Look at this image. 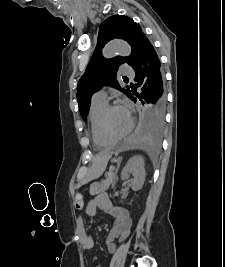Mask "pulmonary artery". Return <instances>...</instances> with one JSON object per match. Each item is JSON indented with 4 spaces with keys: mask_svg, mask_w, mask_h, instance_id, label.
<instances>
[{
    "mask_svg": "<svg viewBox=\"0 0 225 267\" xmlns=\"http://www.w3.org/2000/svg\"><path fill=\"white\" fill-rule=\"evenodd\" d=\"M121 73L123 75H127V76H133L134 75L133 69L126 64L121 66ZM106 99H107V95H106V92L104 89L97 91L93 95V100L106 101Z\"/></svg>",
    "mask_w": 225,
    "mask_h": 267,
    "instance_id": "pulmonary-artery-1",
    "label": "pulmonary artery"
}]
</instances>
